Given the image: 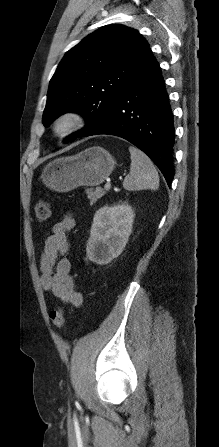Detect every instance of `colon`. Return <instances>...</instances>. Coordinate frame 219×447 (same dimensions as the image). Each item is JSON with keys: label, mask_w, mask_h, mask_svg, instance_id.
<instances>
[{"label": "colon", "mask_w": 219, "mask_h": 447, "mask_svg": "<svg viewBox=\"0 0 219 447\" xmlns=\"http://www.w3.org/2000/svg\"><path fill=\"white\" fill-rule=\"evenodd\" d=\"M50 216V205L46 201H39L35 206V217L38 223H45ZM50 319L57 328H62L65 323L66 313L61 307L54 308L50 311Z\"/></svg>", "instance_id": "1"}]
</instances>
